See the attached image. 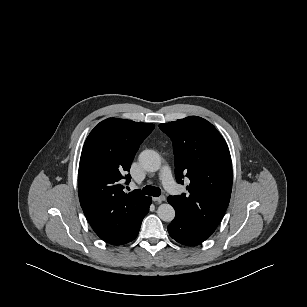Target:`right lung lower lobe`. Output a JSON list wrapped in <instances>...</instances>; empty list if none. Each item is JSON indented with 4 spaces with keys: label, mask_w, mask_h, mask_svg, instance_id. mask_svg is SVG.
Wrapping results in <instances>:
<instances>
[{
    "label": "right lung lower lobe",
    "mask_w": 307,
    "mask_h": 307,
    "mask_svg": "<svg viewBox=\"0 0 307 307\" xmlns=\"http://www.w3.org/2000/svg\"><path fill=\"white\" fill-rule=\"evenodd\" d=\"M150 204H151V198H150V200H149V206H150Z\"/></svg>",
    "instance_id": "right-lung-lower-lobe-1"
}]
</instances>
